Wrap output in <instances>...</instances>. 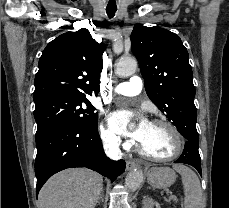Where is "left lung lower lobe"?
I'll return each mask as SVG.
<instances>
[{"label":"left lung lower lobe","mask_w":229,"mask_h":208,"mask_svg":"<svg viewBox=\"0 0 229 208\" xmlns=\"http://www.w3.org/2000/svg\"><path fill=\"white\" fill-rule=\"evenodd\" d=\"M184 138H186L185 148L183 150L182 155L175 162L189 164L196 168L199 174L201 173V159L199 155V136L197 130L188 129L186 132L182 134Z\"/></svg>","instance_id":"1"}]
</instances>
